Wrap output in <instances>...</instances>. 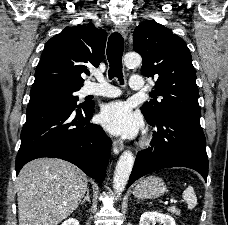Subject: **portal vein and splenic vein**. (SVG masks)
<instances>
[{"instance_id":"portal-vein-and-splenic-vein-1","label":"portal vein and splenic vein","mask_w":228,"mask_h":225,"mask_svg":"<svg viewBox=\"0 0 228 225\" xmlns=\"http://www.w3.org/2000/svg\"><path fill=\"white\" fill-rule=\"evenodd\" d=\"M178 204V201L177 200H168V199H165L164 200V203H163V206L164 207H170V205H177Z\"/></svg>"}]
</instances>
